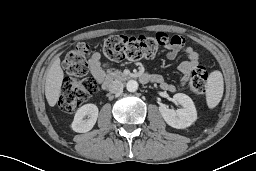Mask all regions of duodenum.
Segmentation results:
<instances>
[{
	"instance_id": "1",
	"label": "duodenum",
	"mask_w": 256,
	"mask_h": 171,
	"mask_svg": "<svg viewBox=\"0 0 256 171\" xmlns=\"http://www.w3.org/2000/svg\"><path fill=\"white\" fill-rule=\"evenodd\" d=\"M128 80H138L141 83L147 84L153 81L152 77L147 74H122L117 72H112L106 76L103 81V89H107L111 83L115 81H128Z\"/></svg>"
}]
</instances>
